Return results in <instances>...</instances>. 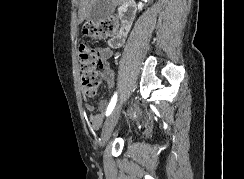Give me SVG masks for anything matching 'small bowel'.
<instances>
[{
	"instance_id": "c3829d8e",
	"label": "small bowel",
	"mask_w": 244,
	"mask_h": 179,
	"mask_svg": "<svg viewBox=\"0 0 244 179\" xmlns=\"http://www.w3.org/2000/svg\"><path fill=\"white\" fill-rule=\"evenodd\" d=\"M124 42V38L122 35H117L114 36L111 40L110 43L107 47H99L97 49V54L100 60L103 62L102 69H103V78L106 81L108 88L112 89L114 86V81H115V73L114 70L111 68L109 64L106 63V60L112 57L113 55V50L115 48H118L122 45ZM86 109L87 111L91 112V116L88 119V124L92 129H98L101 126L102 120H103V114L104 111L108 107V101L107 100H102L99 103V107L101 112L99 114H94V106L86 102Z\"/></svg>"
}]
</instances>
